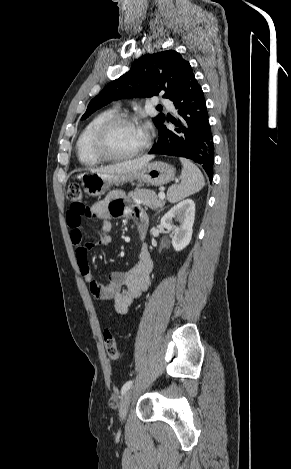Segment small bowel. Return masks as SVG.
<instances>
[{
    "label": "small bowel",
    "mask_w": 291,
    "mask_h": 469,
    "mask_svg": "<svg viewBox=\"0 0 291 469\" xmlns=\"http://www.w3.org/2000/svg\"><path fill=\"white\" fill-rule=\"evenodd\" d=\"M84 217H93L101 222L97 239L83 241L82 220ZM120 217H131L139 232L142 235L146 233L149 222L148 215L136 207L129 206L121 191L110 192L105 199L92 205L87 215L79 213L71 207L67 212V224L70 228L71 242L76 247L80 273L88 284L90 292L98 300H112L115 311L124 314L133 301L151 286L153 261L147 246H142L138 261L133 267L126 271L111 272L106 283H99L95 280L87 261L88 250L112 243L111 219Z\"/></svg>",
    "instance_id": "c3829d8e"
}]
</instances>
